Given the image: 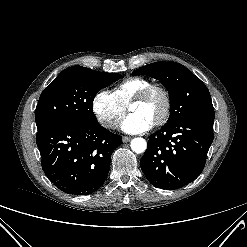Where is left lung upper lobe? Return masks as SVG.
Segmentation results:
<instances>
[{"label":"left lung upper lobe","mask_w":247,"mask_h":247,"mask_svg":"<svg viewBox=\"0 0 247 247\" xmlns=\"http://www.w3.org/2000/svg\"><path fill=\"white\" fill-rule=\"evenodd\" d=\"M159 80L170 97V117L166 125L184 118L214 122V109L205 84L185 66L175 62H155L135 70L133 75Z\"/></svg>","instance_id":"left-lung-upper-lobe-1"}]
</instances>
